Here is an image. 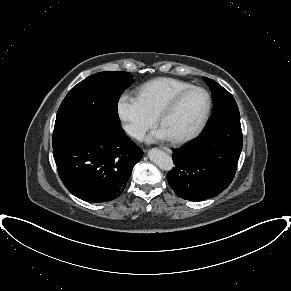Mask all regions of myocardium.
<instances>
[{
	"label": "myocardium",
	"mask_w": 291,
	"mask_h": 291,
	"mask_svg": "<svg viewBox=\"0 0 291 291\" xmlns=\"http://www.w3.org/2000/svg\"><path fill=\"white\" fill-rule=\"evenodd\" d=\"M192 91H202L207 98V104H206V108L204 110V113L199 121V123L197 124V126L194 128L193 131H191L189 134L180 137V138H176V139H171V141L174 144H184L187 143L191 140H193L194 138H196L204 129L209 116H210V112L212 109V96L211 93L204 87L202 86H196V85H192L188 88H185L181 91H179L178 93H176L163 107L162 109L159 111L156 120L157 123L161 126L163 119L169 115L172 111H174V109L178 106V104L181 102V100L190 92Z\"/></svg>",
	"instance_id": "obj_1"
}]
</instances>
